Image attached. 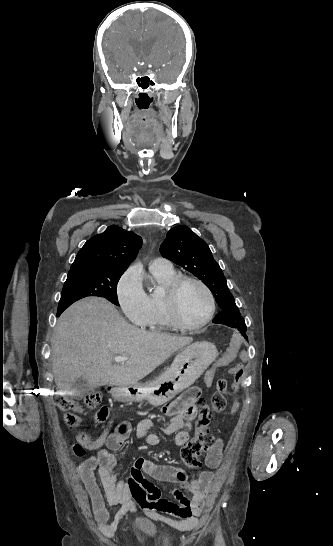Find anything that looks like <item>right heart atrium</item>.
Segmentation results:
<instances>
[{"mask_svg":"<svg viewBox=\"0 0 333 546\" xmlns=\"http://www.w3.org/2000/svg\"><path fill=\"white\" fill-rule=\"evenodd\" d=\"M116 300L125 317L137 325H142L149 314V300L138 273L129 268L116 284Z\"/></svg>","mask_w":333,"mask_h":546,"instance_id":"obj_1","label":"right heart atrium"}]
</instances>
